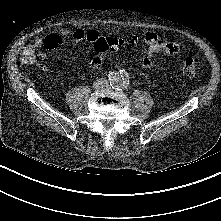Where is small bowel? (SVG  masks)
I'll return each instance as SVG.
<instances>
[{
    "label": "small bowel",
    "instance_id": "1",
    "mask_svg": "<svg viewBox=\"0 0 221 221\" xmlns=\"http://www.w3.org/2000/svg\"><path fill=\"white\" fill-rule=\"evenodd\" d=\"M70 37L74 43L89 42L95 43L101 36L97 31L90 30L85 31L83 29H77L71 31L66 28H62L55 33H52L45 38H37L34 41V46L41 50L42 48H55L63 43L64 38ZM136 39L135 37H132ZM144 42L146 44V53L142 55L139 59L140 66L142 68L148 69L155 64V55L158 52H165L169 55H175L179 52V46L177 43L172 42L164 37L159 36L156 33L148 32L144 36ZM42 59L46 60L47 57L44 53H40ZM103 64L102 56L98 55L93 57L89 65L92 69H99ZM38 68L42 71L48 70V65L46 63H39Z\"/></svg>",
    "mask_w": 221,
    "mask_h": 221
}]
</instances>
